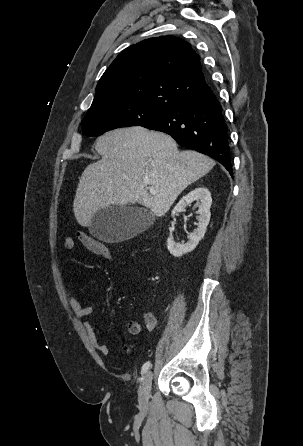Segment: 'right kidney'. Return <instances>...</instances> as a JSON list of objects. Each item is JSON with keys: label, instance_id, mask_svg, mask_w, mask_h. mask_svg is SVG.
<instances>
[{"label": "right kidney", "instance_id": "right-kidney-1", "mask_svg": "<svg viewBox=\"0 0 303 446\" xmlns=\"http://www.w3.org/2000/svg\"><path fill=\"white\" fill-rule=\"evenodd\" d=\"M192 202H196L195 207H198V226L189 235V240L186 243H176L171 237L167 239V248L174 257H180L183 254L193 251L199 241L204 237L210 221L212 198L209 190L205 187H198L185 195L175 206L172 211V216L179 212H184L186 207L190 206Z\"/></svg>", "mask_w": 303, "mask_h": 446}]
</instances>
